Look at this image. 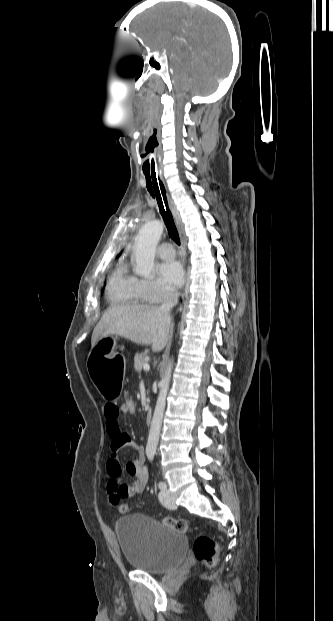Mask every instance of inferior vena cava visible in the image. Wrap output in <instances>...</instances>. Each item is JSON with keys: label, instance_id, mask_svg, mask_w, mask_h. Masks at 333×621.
Segmentation results:
<instances>
[{"label": "inferior vena cava", "instance_id": "602c4592", "mask_svg": "<svg viewBox=\"0 0 333 621\" xmlns=\"http://www.w3.org/2000/svg\"><path fill=\"white\" fill-rule=\"evenodd\" d=\"M178 291L176 289H170L166 292L160 310L164 312L170 318V310L178 303Z\"/></svg>", "mask_w": 333, "mask_h": 621}]
</instances>
